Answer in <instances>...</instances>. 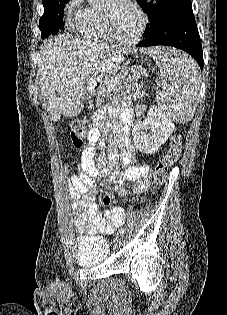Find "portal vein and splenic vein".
Returning a JSON list of instances; mask_svg holds the SVG:
<instances>
[{
	"mask_svg": "<svg viewBox=\"0 0 227 315\" xmlns=\"http://www.w3.org/2000/svg\"><path fill=\"white\" fill-rule=\"evenodd\" d=\"M116 82H117V80L115 79V80L113 81V84H116Z\"/></svg>",
	"mask_w": 227,
	"mask_h": 315,
	"instance_id": "18ae733b",
	"label": "portal vein and splenic vein"
}]
</instances>
